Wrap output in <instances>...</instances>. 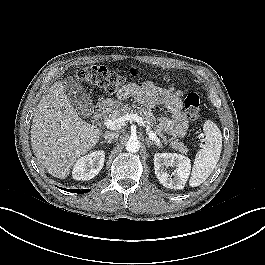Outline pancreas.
Wrapping results in <instances>:
<instances>
[{
  "label": "pancreas",
  "instance_id": "1",
  "mask_svg": "<svg viewBox=\"0 0 265 265\" xmlns=\"http://www.w3.org/2000/svg\"><path fill=\"white\" fill-rule=\"evenodd\" d=\"M128 113H136L139 114L145 122L150 124L152 128L154 129V133L158 135L160 138H162V141L164 143H170L171 147L183 154H186L188 152V148L185 146L183 142H180L178 139L173 138H167L164 135V131L162 127L156 124L157 118L153 115L151 109H144L141 107H138L137 105H133L132 107L128 104H122L118 106L112 114L108 117V119H117L119 117H122Z\"/></svg>",
  "mask_w": 265,
  "mask_h": 265
}]
</instances>
